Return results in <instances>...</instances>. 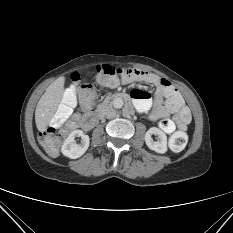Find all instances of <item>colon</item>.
<instances>
[{"label":"colon","mask_w":233,"mask_h":233,"mask_svg":"<svg viewBox=\"0 0 233 233\" xmlns=\"http://www.w3.org/2000/svg\"><path fill=\"white\" fill-rule=\"evenodd\" d=\"M139 73L136 70L116 68L110 64H100L96 67V80L99 84L105 86H116L123 76H136ZM74 85L67 90L63 103L58 108L48 129L40 135V141L44 148L52 155L58 153L62 137L67 132V121L72 114V108L77 99L91 98L94 95L93 86L86 82H81L77 73L72 75ZM162 85L166 87L169 93L172 92L171 83L165 79ZM188 142V136L185 132L179 131L172 135L169 140V147L172 151H182Z\"/></svg>","instance_id":"colon-1"}]
</instances>
